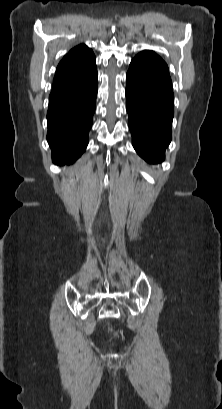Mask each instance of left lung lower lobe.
<instances>
[{"label": "left lung lower lobe", "mask_w": 222, "mask_h": 409, "mask_svg": "<svg viewBox=\"0 0 222 409\" xmlns=\"http://www.w3.org/2000/svg\"><path fill=\"white\" fill-rule=\"evenodd\" d=\"M126 81V108L133 147L147 162L160 163L172 138V85L130 70Z\"/></svg>", "instance_id": "1"}]
</instances>
